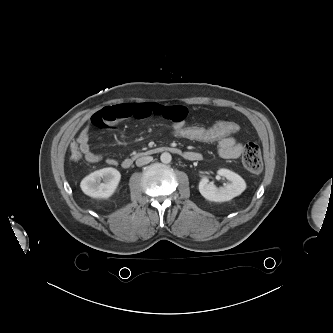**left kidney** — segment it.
Returning <instances> with one entry per match:
<instances>
[{
    "instance_id": "1",
    "label": "left kidney",
    "mask_w": 333,
    "mask_h": 333,
    "mask_svg": "<svg viewBox=\"0 0 333 333\" xmlns=\"http://www.w3.org/2000/svg\"><path fill=\"white\" fill-rule=\"evenodd\" d=\"M218 174L226 178L230 183L217 187L213 183H210L208 179H201L199 192L205 199L213 202H225L239 196L246 189L244 179L237 173L228 169H220L218 170Z\"/></svg>"
}]
</instances>
